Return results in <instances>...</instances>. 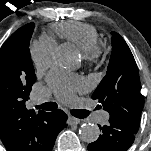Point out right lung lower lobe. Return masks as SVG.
Here are the masks:
<instances>
[{"mask_svg":"<svg viewBox=\"0 0 151 151\" xmlns=\"http://www.w3.org/2000/svg\"><path fill=\"white\" fill-rule=\"evenodd\" d=\"M66 120L67 116L62 110L58 109L48 113L47 135L49 138V149L47 151L52 150L58 133L67 126Z\"/></svg>","mask_w":151,"mask_h":151,"instance_id":"right-lung-lower-lobe-1","label":"right lung lower lobe"}]
</instances>
